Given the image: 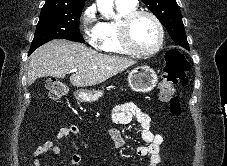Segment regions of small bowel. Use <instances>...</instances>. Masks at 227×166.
I'll return each mask as SVG.
<instances>
[{
  "instance_id": "obj_1",
  "label": "small bowel",
  "mask_w": 227,
  "mask_h": 166,
  "mask_svg": "<svg viewBox=\"0 0 227 166\" xmlns=\"http://www.w3.org/2000/svg\"><path fill=\"white\" fill-rule=\"evenodd\" d=\"M133 118L140 124V136L145 146H139L136 149L138 156H148V166H159L161 162L160 148L164 142L162 135L156 134L153 131L152 118L149 114L141 110V108L134 103H123L116 105L111 113L110 120L114 123L127 124ZM82 132L80 127L76 125L64 126L59 129L56 139H49L39 145L32 153L33 166H42L41 157L44 154L57 155L60 153V148L56 144L57 139H62L68 136H75ZM107 133L112 138L116 148L123 146L124 141L120 134L114 129H108ZM81 155L79 153L73 154L70 159V165L76 166L81 162Z\"/></svg>"
}]
</instances>
